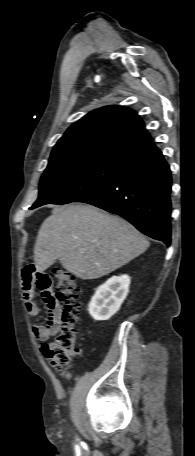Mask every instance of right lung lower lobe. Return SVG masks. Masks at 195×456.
I'll list each match as a JSON object with an SVG mask.
<instances>
[{
  "label": "right lung lower lobe",
  "mask_w": 195,
  "mask_h": 456,
  "mask_svg": "<svg viewBox=\"0 0 195 456\" xmlns=\"http://www.w3.org/2000/svg\"><path fill=\"white\" fill-rule=\"evenodd\" d=\"M171 171L161 151L123 167L108 182L75 202L120 215L142 233L171 243Z\"/></svg>",
  "instance_id": "right-lung-lower-lobe-1"
}]
</instances>
